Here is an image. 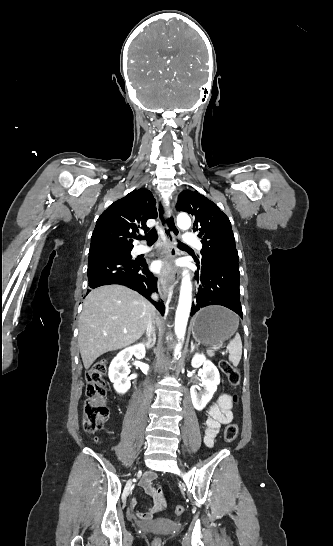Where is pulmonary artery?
I'll return each mask as SVG.
<instances>
[{"label": "pulmonary artery", "instance_id": "obj_1", "mask_svg": "<svg viewBox=\"0 0 333 546\" xmlns=\"http://www.w3.org/2000/svg\"><path fill=\"white\" fill-rule=\"evenodd\" d=\"M183 241L185 243L195 245L199 250L202 249V244H201L200 240L193 233H190V232L184 233ZM149 251H151L150 247L145 246V245H141V244L137 245L134 248V253L135 254H143V253H147Z\"/></svg>", "mask_w": 333, "mask_h": 546}]
</instances>
